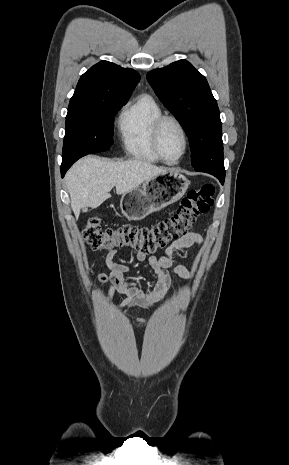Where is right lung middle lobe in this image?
Segmentation results:
<instances>
[{
    "instance_id": "dd1d6c3e",
    "label": "right lung middle lobe",
    "mask_w": 289,
    "mask_h": 465,
    "mask_svg": "<svg viewBox=\"0 0 289 465\" xmlns=\"http://www.w3.org/2000/svg\"><path fill=\"white\" fill-rule=\"evenodd\" d=\"M126 102L116 100L92 109L88 115L66 116L62 161L108 150L113 143V116Z\"/></svg>"
}]
</instances>
